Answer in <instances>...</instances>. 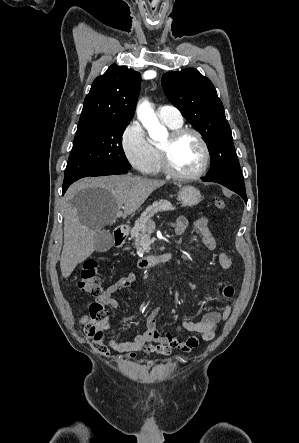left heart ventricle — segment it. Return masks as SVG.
Segmentation results:
<instances>
[{
  "mask_svg": "<svg viewBox=\"0 0 299 443\" xmlns=\"http://www.w3.org/2000/svg\"><path fill=\"white\" fill-rule=\"evenodd\" d=\"M202 159L203 151L201 145L192 134L182 136L172 147L171 163L180 173L189 174L195 172L199 169Z\"/></svg>",
  "mask_w": 299,
  "mask_h": 443,
  "instance_id": "1",
  "label": "left heart ventricle"
}]
</instances>
